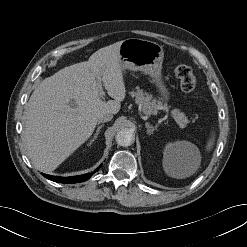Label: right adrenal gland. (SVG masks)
<instances>
[{
    "mask_svg": "<svg viewBox=\"0 0 247 247\" xmlns=\"http://www.w3.org/2000/svg\"><path fill=\"white\" fill-rule=\"evenodd\" d=\"M103 127H104L103 124L97 127V130H96V132H95L93 138L91 139L90 144H92V143L95 141V139L98 137V135H99V133H100V130H101Z\"/></svg>",
    "mask_w": 247,
    "mask_h": 247,
    "instance_id": "right-adrenal-gland-1",
    "label": "right adrenal gland"
}]
</instances>
